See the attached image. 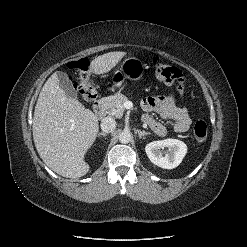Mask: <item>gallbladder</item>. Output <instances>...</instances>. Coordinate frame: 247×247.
Returning <instances> with one entry per match:
<instances>
[{"label":"gallbladder","mask_w":247,"mask_h":247,"mask_svg":"<svg viewBox=\"0 0 247 247\" xmlns=\"http://www.w3.org/2000/svg\"><path fill=\"white\" fill-rule=\"evenodd\" d=\"M59 86L64 90V92L73 98H77V93L75 92L72 83L70 82L66 73L58 72Z\"/></svg>","instance_id":"gallbladder-1"}]
</instances>
